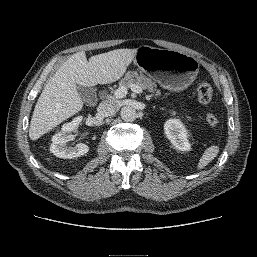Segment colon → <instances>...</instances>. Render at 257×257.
Listing matches in <instances>:
<instances>
[{"label":"colon","instance_id":"5ec220e1","mask_svg":"<svg viewBox=\"0 0 257 257\" xmlns=\"http://www.w3.org/2000/svg\"><path fill=\"white\" fill-rule=\"evenodd\" d=\"M197 98L203 105H207L211 102L213 96V89L207 82H201L196 89ZM207 123L210 126H216L219 122L216 115L208 113L206 116Z\"/></svg>","mask_w":257,"mask_h":257}]
</instances>
